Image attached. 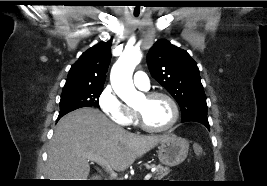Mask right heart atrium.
Returning a JSON list of instances; mask_svg holds the SVG:
<instances>
[{
	"label": "right heart atrium",
	"instance_id": "obj_1",
	"mask_svg": "<svg viewBox=\"0 0 267 186\" xmlns=\"http://www.w3.org/2000/svg\"><path fill=\"white\" fill-rule=\"evenodd\" d=\"M98 104L105 115L113 122L128 126L130 115L128 108L117 97L111 86H105L98 96Z\"/></svg>",
	"mask_w": 267,
	"mask_h": 186
}]
</instances>
